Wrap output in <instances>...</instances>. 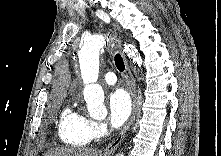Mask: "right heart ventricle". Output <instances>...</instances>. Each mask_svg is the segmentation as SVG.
I'll list each match as a JSON object with an SVG mask.
<instances>
[{
  "mask_svg": "<svg viewBox=\"0 0 221 156\" xmlns=\"http://www.w3.org/2000/svg\"><path fill=\"white\" fill-rule=\"evenodd\" d=\"M58 133L64 144L73 147L86 146L91 140L87 132V119L71 107H66L62 111Z\"/></svg>",
  "mask_w": 221,
  "mask_h": 156,
  "instance_id": "right-heart-ventricle-1",
  "label": "right heart ventricle"
}]
</instances>
